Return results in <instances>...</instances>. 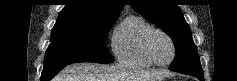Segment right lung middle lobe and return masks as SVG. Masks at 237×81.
I'll return each instance as SVG.
<instances>
[{
	"label": "right lung middle lobe",
	"instance_id": "right-lung-middle-lobe-1",
	"mask_svg": "<svg viewBox=\"0 0 237 81\" xmlns=\"http://www.w3.org/2000/svg\"><path fill=\"white\" fill-rule=\"evenodd\" d=\"M115 21L57 19L45 53L44 66L77 62L112 63L114 59L105 40Z\"/></svg>",
	"mask_w": 237,
	"mask_h": 81
}]
</instances>
